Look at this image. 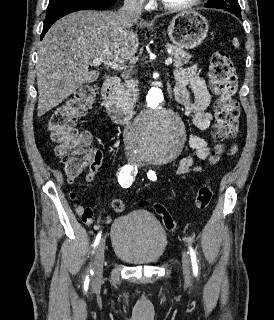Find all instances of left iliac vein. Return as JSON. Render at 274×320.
<instances>
[{
    "label": "left iliac vein",
    "mask_w": 274,
    "mask_h": 320,
    "mask_svg": "<svg viewBox=\"0 0 274 320\" xmlns=\"http://www.w3.org/2000/svg\"><path fill=\"white\" fill-rule=\"evenodd\" d=\"M137 165L141 166L142 163L138 162ZM182 267L186 279H189L191 275V260L188 253H186L185 251L182 254Z\"/></svg>",
    "instance_id": "obj_1"
}]
</instances>
